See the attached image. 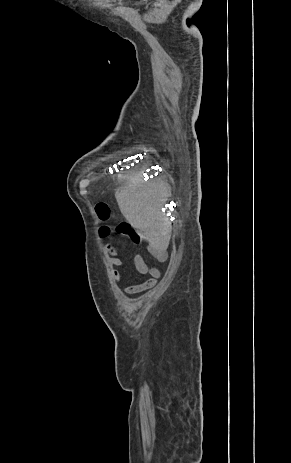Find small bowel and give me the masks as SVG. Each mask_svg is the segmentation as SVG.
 I'll list each match as a JSON object with an SVG mask.
<instances>
[{"label": "small bowel", "instance_id": "1", "mask_svg": "<svg viewBox=\"0 0 291 463\" xmlns=\"http://www.w3.org/2000/svg\"><path fill=\"white\" fill-rule=\"evenodd\" d=\"M139 240L141 242L140 237H139ZM105 249L110 254L108 262L112 267V271H111L112 277L116 281H123V277L119 271V268L123 267V262L118 256L116 248L111 244H107L105 246ZM151 252L153 256L157 258L158 260H162L164 257V254L158 249H152ZM133 262H134L135 269L137 270L139 274L141 275L149 274L150 277L143 283L132 284V285L126 286L124 288V292L126 294H137V293L146 291L148 289H151L152 287L155 286L157 280L160 278V271L157 268H149L142 255L135 254L133 257Z\"/></svg>", "mask_w": 291, "mask_h": 463}]
</instances>
